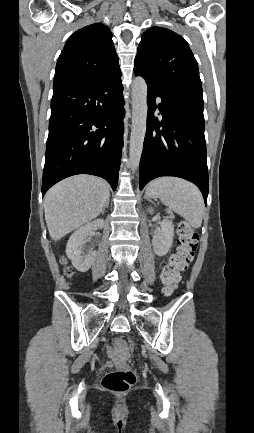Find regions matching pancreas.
Listing matches in <instances>:
<instances>
[{
    "label": "pancreas",
    "mask_w": 254,
    "mask_h": 433,
    "mask_svg": "<svg viewBox=\"0 0 254 433\" xmlns=\"http://www.w3.org/2000/svg\"><path fill=\"white\" fill-rule=\"evenodd\" d=\"M167 213H171L170 210H167Z\"/></svg>",
    "instance_id": "cf45deb5"
}]
</instances>
